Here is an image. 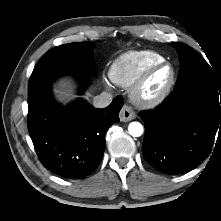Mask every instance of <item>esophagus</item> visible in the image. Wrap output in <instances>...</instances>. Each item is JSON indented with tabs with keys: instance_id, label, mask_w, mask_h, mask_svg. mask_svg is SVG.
<instances>
[{
	"instance_id": "esophagus-1",
	"label": "esophagus",
	"mask_w": 221,
	"mask_h": 221,
	"mask_svg": "<svg viewBox=\"0 0 221 221\" xmlns=\"http://www.w3.org/2000/svg\"><path fill=\"white\" fill-rule=\"evenodd\" d=\"M119 118L122 122H128L136 118V114L130 106L124 105L119 113Z\"/></svg>"
}]
</instances>
